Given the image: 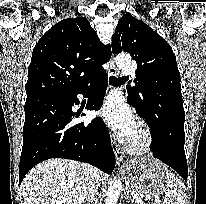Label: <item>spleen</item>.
Wrapping results in <instances>:
<instances>
[{
  "instance_id": "1",
  "label": "spleen",
  "mask_w": 206,
  "mask_h": 204,
  "mask_svg": "<svg viewBox=\"0 0 206 204\" xmlns=\"http://www.w3.org/2000/svg\"><path fill=\"white\" fill-rule=\"evenodd\" d=\"M170 181L167 182L168 192L164 197L165 204H184L185 185L175 177L173 173H169Z\"/></svg>"
}]
</instances>
